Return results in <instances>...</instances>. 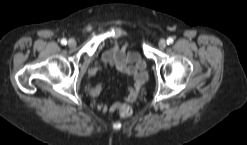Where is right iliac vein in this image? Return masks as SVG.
<instances>
[{"instance_id": "obj_1", "label": "right iliac vein", "mask_w": 247, "mask_h": 145, "mask_svg": "<svg viewBox=\"0 0 247 145\" xmlns=\"http://www.w3.org/2000/svg\"><path fill=\"white\" fill-rule=\"evenodd\" d=\"M68 46L71 47V48L75 47L76 46V41L74 39H70L68 41Z\"/></svg>"}]
</instances>
